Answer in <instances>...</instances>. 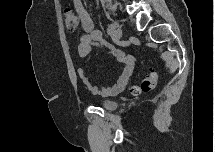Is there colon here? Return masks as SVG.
Instances as JSON below:
<instances>
[{
    "label": "colon",
    "mask_w": 215,
    "mask_h": 152,
    "mask_svg": "<svg viewBox=\"0 0 215 152\" xmlns=\"http://www.w3.org/2000/svg\"><path fill=\"white\" fill-rule=\"evenodd\" d=\"M63 17L66 28L69 31H75L79 24L78 15L70 9H66L64 11ZM157 80V73L152 71L139 84L132 85L130 87V92L135 95L150 92L155 88Z\"/></svg>",
    "instance_id": "1"
}]
</instances>
